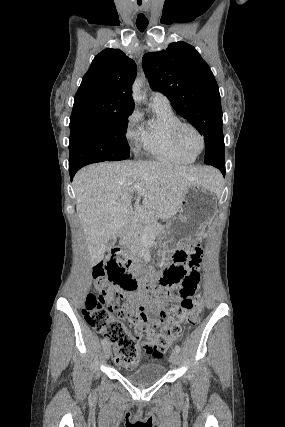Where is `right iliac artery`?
Masks as SVG:
<instances>
[{"label":"right iliac artery","instance_id":"right-iliac-artery-1","mask_svg":"<svg viewBox=\"0 0 285 427\" xmlns=\"http://www.w3.org/2000/svg\"><path fill=\"white\" fill-rule=\"evenodd\" d=\"M107 342H108L107 338H104V339L102 340L101 344L104 346V345H106V344H107Z\"/></svg>","mask_w":285,"mask_h":427}]
</instances>
